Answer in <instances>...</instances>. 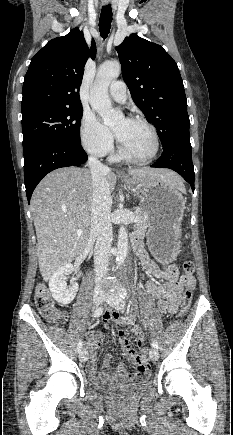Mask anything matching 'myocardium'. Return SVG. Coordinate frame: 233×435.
<instances>
[{
	"label": "myocardium",
	"mask_w": 233,
	"mask_h": 435,
	"mask_svg": "<svg viewBox=\"0 0 233 435\" xmlns=\"http://www.w3.org/2000/svg\"><path fill=\"white\" fill-rule=\"evenodd\" d=\"M127 120L133 121V122H140V123L144 124L150 130L151 135L153 137V142H154L153 151L147 158H144V159L134 158V157L130 156L129 154H127V152L124 150L118 137L115 134L116 140H117L118 155L122 160H124L128 163L137 164V165H147V164L151 163L152 161H154L159 153L160 140H159L158 132L151 122H149L147 119H145L141 116H137V115L130 116L127 118Z\"/></svg>",
	"instance_id": "myocardium-1"
}]
</instances>
